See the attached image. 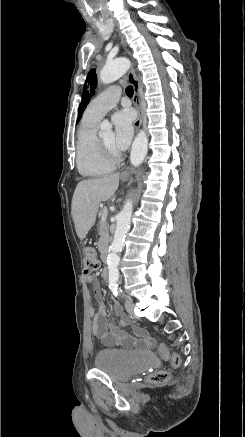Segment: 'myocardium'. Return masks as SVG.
I'll return each mask as SVG.
<instances>
[{"instance_id": "1", "label": "myocardium", "mask_w": 245, "mask_h": 437, "mask_svg": "<svg viewBox=\"0 0 245 437\" xmlns=\"http://www.w3.org/2000/svg\"><path fill=\"white\" fill-rule=\"evenodd\" d=\"M96 144L98 147V150L100 152V154L107 160L115 162L117 161L120 156L119 154H117V152H112L110 151L104 144L103 142L100 140V138H96Z\"/></svg>"}]
</instances>
